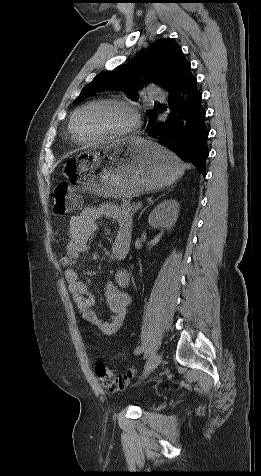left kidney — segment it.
I'll use <instances>...</instances> for the list:
<instances>
[{"label":"left kidney","mask_w":261,"mask_h":476,"mask_svg":"<svg viewBox=\"0 0 261 476\" xmlns=\"http://www.w3.org/2000/svg\"><path fill=\"white\" fill-rule=\"evenodd\" d=\"M179 213V203L167 199L159 203L150 213L148 222L151 227L170 230L174 227Z\"/></svg>","instance_id":"1"}]
</instances>
